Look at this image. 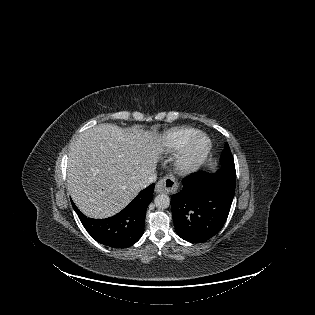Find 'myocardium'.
Returning a JSON list of instances; mask_svg holds the SVG:
<instances>
[{
	"mask_svg": "<svg viewBox=\"0 0 315 315\" xmlns=\"http://www.w3.org/2000/svg\"><path fill=\"white\" fill-rule=\"evenodd\" d=\"M210 150V138L204 133H198L187 143L177 158V170L184 174L194 172L203 164Z\"/></svg>",
	"mask_w": 315,
	"mask_h": 315,
	"instance_id": "myocardium-1",
	"label": "myocardium"
}]
</instances>
